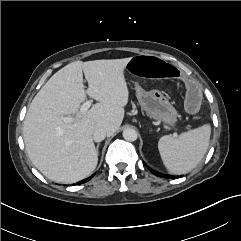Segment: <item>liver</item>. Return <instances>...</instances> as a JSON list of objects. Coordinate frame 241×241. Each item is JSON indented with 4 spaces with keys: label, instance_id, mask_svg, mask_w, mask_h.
<instances>
[{
    "label": "liver",
    "instance_id": "6515ba94",
    "mask_svg": "<svg viewBox=\"0 0 241 241\" xmlns=\"http://www.w3.org/2000/svg\"><path fill=\"white\" fill-rule=\"evenodd\" d=\"M130 60L72 62L34 97L24 119L23 138L28 157L45 177L71 184L93 173L98 154L92 135L97 128L109 136L119 129L129 99L124 69ZM87 94L98 103L82 114L79 108ZM67 115L74 121L64 122Z\"/></svg>",
    "mask_w": 241,
    "mask_h": 241
}]
</instances>
